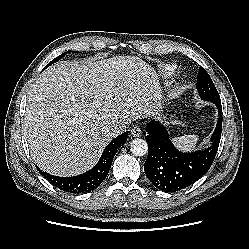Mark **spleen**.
I'll return each mask as SVG.
<instances>
[{"instance_id": "spleen-1", "label": "spleen", "mask_w": 249, "mask_h": 249, "mask_svg": "<svg viewBox=\"0 0 249 249\" xmlns=\"http://www.w3.org/2000/svg\"><path fill=\"white\" fill-rule=\"evenodd\" d=\"M198 136L196 135H185L179 138L173 139V143L179 148L185 151H191L196 147L198 142Z\"/></svg>"}]
</instances>
